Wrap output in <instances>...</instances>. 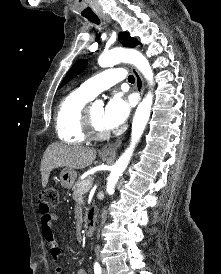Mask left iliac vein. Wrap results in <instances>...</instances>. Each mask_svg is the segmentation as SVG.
<instances>
[{"label":"left iliac vein","mask_w":221,"mask_h":274,"mask_svg":"<svg viewBox=\"0 0 221 274\" xmlns=\"http://www.w3.org/2000/svg\"><path fill=\"white\" fill-rule=\"evenodd\" d=\"M102 274H107V270L103 269Z\"/></svg>","instance_id":"4c4485c4"}]
</instances>
